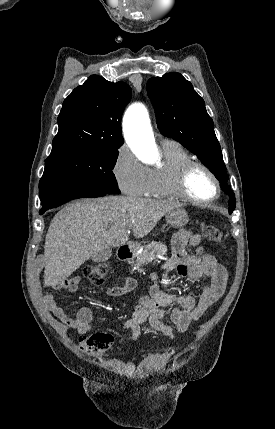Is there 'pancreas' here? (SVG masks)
Returning <instances> with one entry per match:
<instances>
[{
  "instance_id": "1",
  "label": "pancreas",
  "mask_w": 275,
  "mask_h": 429,
  "mask_svg": "<svg viewBox=\"0 0 275 429\" xmlns=\"http://www.w3.org/2000/svg\"><path fill=\"white\" fill-rule=\"evenodd\" d=\"M167 253V246L161 242L152 241L145 246V249L137 255L135 266L148 264L158 256H164Z\"/></svg>"
}]
</instances>
